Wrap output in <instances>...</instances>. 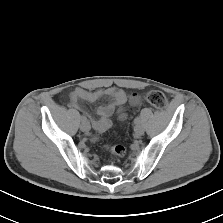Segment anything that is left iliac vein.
<instances>
[{
  "mask_svg": "<svg viewBox=\"0 0 223 223\" xmlns=\"http://www.w3.org/2000/svg\"><path fill=\"white\" fill-rule=\"evenodd\" d=\"M135 136L140 137L144 134V129L141 124H137L134 127Z\"/></svg>",
  "mask_w": 223,
  "mask_h": 223,
  "instance_id": "4c4485c4",
  "label": "left iliac vein"
}]
</instances>
